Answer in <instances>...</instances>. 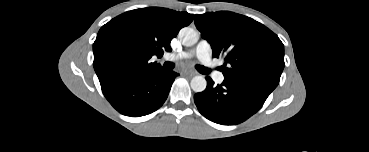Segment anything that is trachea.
<instances>
[{
	"label": "trachea",
	"mask_w": 369,
	"mask_h": 152,
	"mask_svg": "<svg viewBox=\"0 0 369 152\" xmlns=\"http://www.w3.org/2000/svg\"><path fill=\"white\" fill-rule=\"evenodd\" d=\"M163 66H164V68H167V69H173L175 65L172 62H165ZM195 67L198 70V72H200L202 74H208L209 73V70L207 68H205L204 66H202V65H196Z\"/></svg>",
	"instance_id": "trachea-1"
}]
</instances>
